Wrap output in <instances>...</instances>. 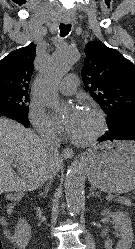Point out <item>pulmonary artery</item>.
<instances>
[{
    "label": "pulmonary artery",
    "mask_w": 135,
    "mask_h": 249,
    "mask_svg": "<svg viewBox=\"0 0 135 249\" xmlns=\"http://www.w3.org/2000/svg\"><path fill=\"white\" fill-rule=\"evenodd\" d=\"M78 86V77L75 74L67 75L59 84V91L64 95H72L75 93Z\"/></svg>",
    "instance_id": "pulmonary-artery-1"
}]
</instances>
